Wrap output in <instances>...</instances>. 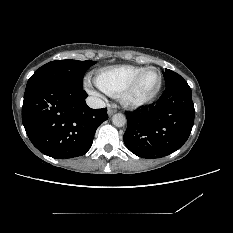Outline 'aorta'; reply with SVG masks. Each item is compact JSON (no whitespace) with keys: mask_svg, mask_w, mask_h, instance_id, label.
Returning a JSON list of instances; mask_svg holds the SVG:
<instances>
[{"mask_svg":"<svg viewBox=\"0 0 233 233\" xmlns=\"http://www.w3.org/2000/svg\"><path fill=\"white\" fill-rule=\"evenodd\" d=\"M112 122L117 127H122L126 124V117L122 113H117L112 116Z\"/></svg>","mask_w":233,"mask_h":233,"instance_id":"762f6f07","label":"aorta"}]
</instances>
